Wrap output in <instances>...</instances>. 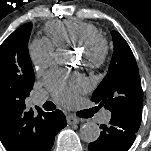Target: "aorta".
I'll list each match as a JSON object with an SVG mask.
<instances>
[{"label":"aorta","instance_id":"aorta-1","mask_svg":"<svg viewBox=\"0 0 151 151\" xmlns=\"http://www.w3.org/2000/svg\"><path fill=\"white\" fill-rule=\"evenodd\" d=\"M69 53L62 51L58 53L60 60H67ZM100 136V128L96 123L87 122L80 128V138L87 143L96 141Z\"/></svg>","mask_w":151,"mask_h":151}]
</instances>
